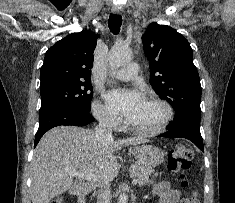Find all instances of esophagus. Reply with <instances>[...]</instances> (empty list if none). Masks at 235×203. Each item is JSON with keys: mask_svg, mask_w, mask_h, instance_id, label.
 Wrapping results in <instances>:
<instances>
[{"mask_svg": "<svg viewBox=\"0 0 235 203\" xmlns=\"http://www.w3.org/2000/svg\"><path fill=\"white\" fill-rule=\"evenodd\" d=\"M112 12L117 15L125 16V11L122 8L116 6L112 7Z\"/></svg>", "mask_w": 235, "mask_h": 203, "instance_id": "esophagus-1", "label": "esophagus"}]
</instances>
